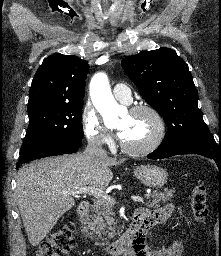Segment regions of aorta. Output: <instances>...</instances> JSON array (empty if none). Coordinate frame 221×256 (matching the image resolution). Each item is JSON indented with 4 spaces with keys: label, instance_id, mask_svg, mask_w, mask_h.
Returning a JSON list of instances; mask_svg holds the SVG:
<instances>
[{
    "label": "aorta",
    "instance_id": "1",
    "mask_svg": "<svg viewBox=\"0 0 221 256\" xmlns=\"http://www.w3.org/2000/svg\"><path fill=\"white\" fill-rule=\"evenodd\" d=\"M90 96L105 123L110 119L117 118L121 107L112 95L106 74L97 73L93 76L90 82Z\"/></svg>",
    "mask_w": 221,
    "mask_h": 256
}]
</instances>
